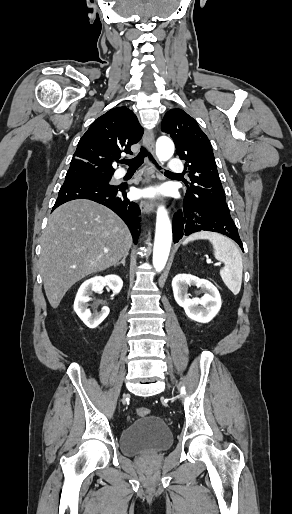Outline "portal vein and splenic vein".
I'll return each mask as SVG.
<instances>
[{
  "label": "portal vein and splenic vein",
  "mask_w": 292,
  "mask_h": 514,
  "mask_svg": "<svg viewBox=\"0 0 292 514\" xmlns=\"http://www.w3.org/2000/svg\"><path fill=\"white\" fill-rule=\"evenodd\" d=\"M104 252H108V250H104ZM208 264H212L211 260H207ZM214 266H221V262H218V264H214Z\"/></svg>",
  "instance_id": "18ae733b"
}]
</instances>
